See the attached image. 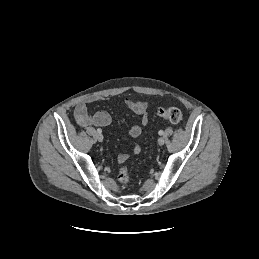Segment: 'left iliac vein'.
Masks as SVG:
<instances>
[{"mask_svg": "<svg viewBox=\"0 0 259 259\" xmlns=\"http://www.w3.org/2000/svg\"><path fill=\"white\" fill-rule=\"evenodd\" d=\"M164 142H165V140H164L163 137H160V138L158 139V144H159V145H163Z\"/></svg>", "mask_w": 259, "mask_h": 259, "instance_id": "obj_1", "label": "left iliac vein"}]
</instances>
